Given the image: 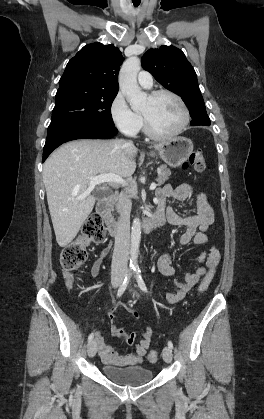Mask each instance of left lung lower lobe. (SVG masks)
<instances>
[{"mask_svg":"<svg viewBox=\"0 0 264 419\" xmlns=\"http://www.w3.org/2000/svg\"><path fill=\"white\" fill-rule=\"evenodd\" d=\"M190 125H192V126H199V125L209 126L210 125V119L205 118L203 114L198 115V116H193L192 120L190 122Z\"/></svg>","mask_w":264,"mask_h":419,"instance_id":"1","label":"left lung lower lobe"}]
</instances>
